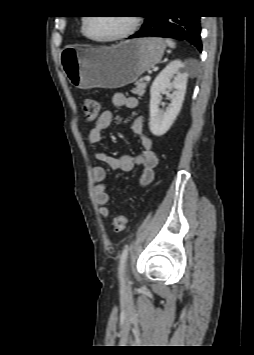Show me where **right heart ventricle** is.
<instances>
[{"instance_id": "e07e8e85", "label": "right heart ventricle", "mask_w": 254, "mask_h": 355, "mask_svg": "<svg viewBox=\"0 0 254 355\" xmlns=\"http://www.w3.org/2000/svg\"><path fill=\"white\" fill-rule=\"evenodd\" d=\"M81 31H82V33H83V22H82V25H81Z\"/></svg>"}]
</instances>
